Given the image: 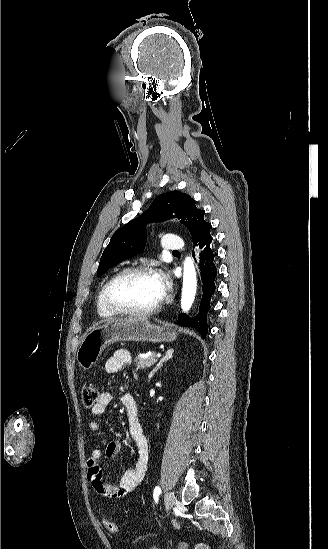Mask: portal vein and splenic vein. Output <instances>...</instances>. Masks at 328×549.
<instances>
[{
	"mask_svg": "<svg viewBox=\"0 0 328 549\" xmlns=\"http://www.w3.org/2000/svg\"><path fill=\"white\" fill-rule=\"evenodd\" d=\"M155 359H161L160 353H156Z\"/></svg>",
	"mask_w": 328,
	"mask_h": 549,
	"instance_id": "obj_1",
	"label": "portal vein and splenic vein"
}]
</instances>
